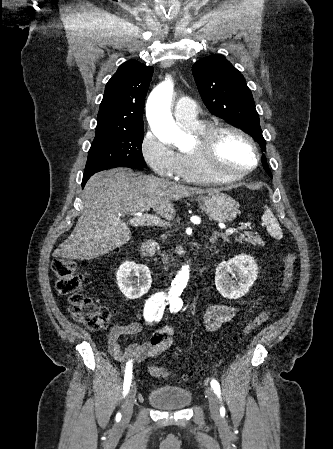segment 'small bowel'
<instances>
[{
    "label": "small bowel",
    "instance_id": "1",
    "mask_svg": "<svg viewBox=\"0 0 333 449\" xmlns=\"http://www.w3.org/2000/svg\"><path fill=\"white\" fill-rule=\"evenodd\" d=\"M238 313V308L230 305H213L209 307L203 317L202 325L205 330H214L229 322ZM141 331L138 322L122 323L112 326L107 335V348L111 356L119 361H142L154 358L169 350L174 343V329L167 326L156 330L149 340L142 344H121L124 336L136 335Z\"/></svg>",
    "mask_w": 333,
    "mask_h": 449
}]
</instances>
